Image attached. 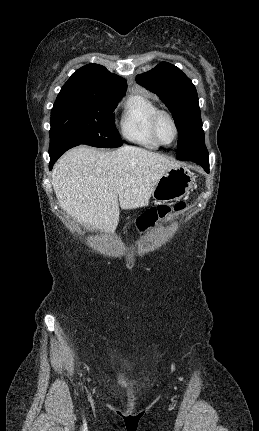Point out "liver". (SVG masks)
Segmentation results:
<instances>
[{
	"label": "liver",
	"mask_w": 259,
	"mask_h": 431,
	"mask_svg": "<svg viewBox=\"0 0 259 431\" xmlns=\"http://www.w3.org/2000/svg\"><path fill=\"white\" fill-rule=\"evenodd\" d=\"M179 164L135 146L69 150L55 164L52 186L59 206L81 224L112 233L124 210L145 207L162 175Z\"/></svg>",
	"instance_id": "6515ba94"
}]
</instances>
